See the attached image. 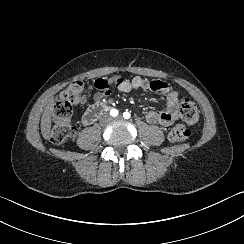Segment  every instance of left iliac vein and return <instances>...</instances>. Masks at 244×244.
<instances>
[{
	"label": "left iliac vein",
	"instance_id": "left-iliac-vein-1",
	"mask_svg": "<svg viewBox=\"0 0 244 244\" xmlns=\"http://www.w3.org/2000/svg\"><path fill=\"white\" fill-rule=\"evenodd\" d=\"M121 118H122V116L121 115H119L118 117H116L115 119H117V120H121Z\"/></svg>",
	"mask_w": 244,
	"mask_h": 244
}]
</instances>
